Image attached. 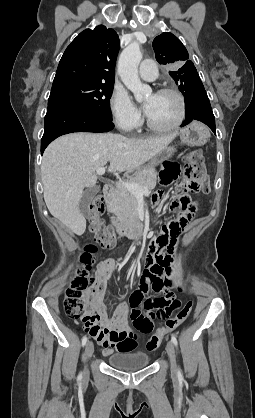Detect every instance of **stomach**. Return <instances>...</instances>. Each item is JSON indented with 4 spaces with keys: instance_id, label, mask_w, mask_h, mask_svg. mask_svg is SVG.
Segmentation results:
<instances>
[{
    "instance_id": "stomach-1",
    "label": "stomach",
    "mask_w": 255,
    "mask_h": 418,
    "mask_svg": "<svg viewBox=\"0 0 255 418\" xmlns=\"http://www.w3.org/2000/svg\"><path fill=\"white\" fill-rule=\"evenodd\" d=\"M179 135L183 144L192 146L204 145L209 138L208 130L199 122H193L182 128ZM174 151L175 149L173 147H167L151 159L147 168H152L163 163L173 155Z\"/></svg>"
}]
</instances>
